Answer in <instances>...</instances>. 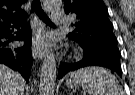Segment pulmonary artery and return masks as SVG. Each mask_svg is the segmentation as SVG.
Returning <instances> with one entry per match:
<instances>
[{
	"mask_svg": "<svg viewBox=\"0 0 135 95\" xmlns=\"http://www.w3.org/2000/svg\"><path fill=\"white\" fill-rule=\"evenodd\" d=\"M52 21L55 24L62 23L64 21V13L58 11V10H53L51 13Z\"/></svg>",
	"mask_w": 135,
	"mask_h": 95,
	"instance_id": "pulmonary-artery-1",
	"label": "pulmonary artery"
}]
</instances>
